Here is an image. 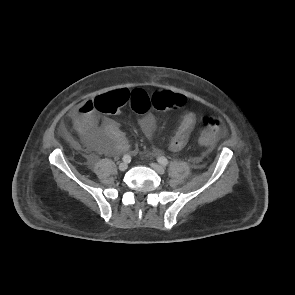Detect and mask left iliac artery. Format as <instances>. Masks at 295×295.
Returning <instances> with one entry per match:
<instances>
[{"mask_svg":"<svg viewBox=\"0 0 295 295\" xmlns=\"http://www.w3.org/2000/svg\"><path fill=\"white\" fill-rule=\"evenodd\" d=\"M157 160L163 166H166L168 164V160L164 156L158 157Z\"/></svg>","mask_w":295,"mask_h":295,"instance_id":"44dca946","label":"left iliac artery"}]
</instances>
